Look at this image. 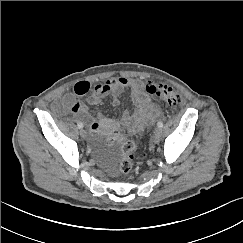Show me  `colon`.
I'll list each match as a JSON object with an SVG mask.
<instances>
[{
	"mask_svg": "<svg viewBox=\"0 0 243 243\" xmlns=\"http://www.w3.org/2000/svg\"><path fill=\"white\" fill-rule=\"evenodd\" d=\"M146 92L154 96L169 106H178L181 104V96L171 86L165 83H158L149 81L145 86ZM122 158L119 163V170L121 174L127 176L133 168V153L137 149V144L128 138H125L121 145Z\"/></svg>",
	"mask_w": 243,
	"mask_h": 243,
	"instance_id": "colon-1",
	"label": "colon"
}]
</instances>
